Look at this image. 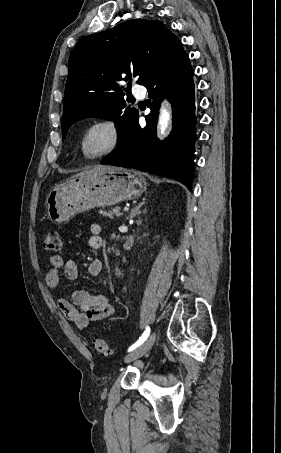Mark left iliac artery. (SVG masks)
Wrapping results in <instances>:
<instances>
[{"label":"left iliac artery","instance_id":"left-iliac-artery-1","mask_svg":"<svg viewBox=\"0 0 281 453\" xmlns=\"http://www.w3.org/2000/svg\"><path fill=\"white\" fill-rule=\"evenodd\" d=\"M149 334H150V327L147 326V327H146V330L144 331V333L142 334V336L139 337V340H138L135 344H133V345L129 348L128 351H129V352H130V351H133L134 349H136L137 347H139L142 343H144V341L148 338Z\"/></svg>","mask_w":281,"mask_h":453}]
</instances>
